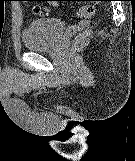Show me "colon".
I'll list each match as a JSON object with an SVG mask.
<instances>
[{
    "label": "colon",
    "mask_w": 135,
    "mask_h": 161,
    "mask_svg": "<svg viewBox=\"0 0 135 161\" xmlns=\"http://www.w3.org/2000/svg\"><path fill=\"white\" fill-rule=\"evenodd\" d=\"M34 12L38 15H43V12L35 7L34 8ZM94 12V9H93V6L92 5H83L80 7V10H79V15L82 16V17H90ZM89 35V32L86 31L84 32L77 40V43H81L87 36Z\"/></svg>",
    "instance_id": "1"
}]
</instances>
